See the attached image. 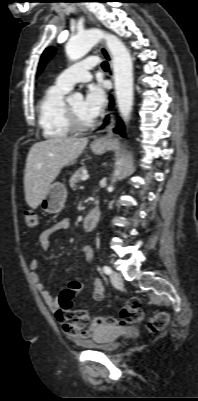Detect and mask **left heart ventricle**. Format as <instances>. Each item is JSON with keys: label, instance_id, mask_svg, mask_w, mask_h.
I'll return each instance as SVG.
<instances>
[{"label": "left heart ventricle", "instance_id": "obj_1", "mask_svg": "<svg viewBox=\"0 0 198 401\" xmlns=\"http://www.w3.org/2000/svg\"><path fill=\"white\" fill-rule=\"evenodd\" d=\"M70 107L74 110V112L76 113L81 122L89 123L94 120L85 114L83 107V100L80 99L72 102L70 104Z\"/></svg>", "mask_w": 198, "mask_h": 401}]
</instances>
